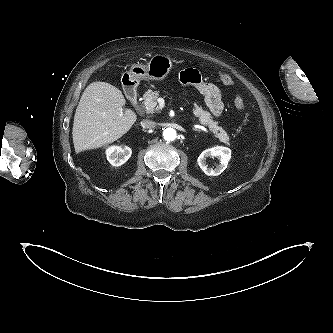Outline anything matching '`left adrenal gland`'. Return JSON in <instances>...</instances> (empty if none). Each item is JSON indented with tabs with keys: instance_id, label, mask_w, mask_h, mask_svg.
I'll return each instance as SVG.
<instances>
[{
	"instance_id": "a2214340",
	"label": "left adrenal gland",
	"mask_w": 333,
	"mask_h": 333,
	"mask_svg": "<svg viewBox=\"0 0 333 333\" xmlns=\"http://www.w3.org/2000/svg\"><path fill=\"white\" fill-rule=\"evenodd\" d=\"M193 130H194V131H199V130H198V129H196V128H193Z\"/></svg>"
}]
</instances>
